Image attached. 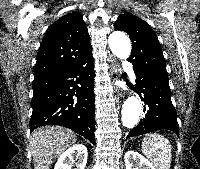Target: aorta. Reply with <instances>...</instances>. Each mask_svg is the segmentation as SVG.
<instances>
[{"instance_id":"obj_1","label":"aorta","mask_w":200,"mask_h":169,"mask_svg":"<svg viewBox=\"0 0 200 169\" xmlns=\"http://www.w3.org/2000/svg\"><path fill=\"white\" fill-rule=\"evenodd\" d=\"M109 47L119 59H127L131 53L129 38L121 32L112 33L109 37ZM141 113L140 101L135 96H129L122 106V123L126 128H133L139 121Z\"/></svg>"}]
</instances>
